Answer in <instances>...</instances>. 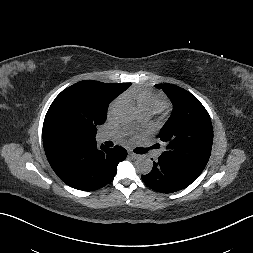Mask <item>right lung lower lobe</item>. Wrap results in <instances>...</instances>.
I'll use <instances>...</instances> for the list:
<instances>
[{
  "mask_svg": "<svg viewBox=\"0 0 253 253\" xmlns=\"http://www.w3.org/2000/svg\"><path fill=\"white\" fill-rule=\"evenodd\" d=\"M127 152L120 146L101 149L97 145L77 147L56 152L47 157L58 177L78 190H97L111 182L117 165L126 158Z\"/></svg>",
  "mask_w": 253,
  "mask_h": 253,
  "instance_id": "1",
  "label": "right lung lower lobe"
}]
</instances>
